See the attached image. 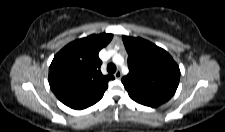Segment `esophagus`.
I'll return each mask as SVG.
<instances>
[{"mask_svg": "<svg viewBox=\"0 0 225 132\" xmlns=\"http://www.w3.org/2000/svg\"><path fill=\"white\" fill-rule=\"evenodd\" d=\"M114 77H115L116 79H120V78L122 77L121 71H120V70H117V71L115 72V74H114Z\"/></svg>", "mask_w": 225, "mask_h": 132, "instance_id": "34e87169", "label": "esophagus"}]
</instances>
